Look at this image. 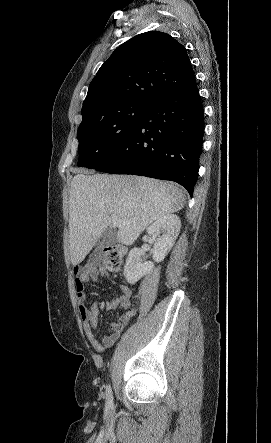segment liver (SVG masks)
I'll use <instances>...</instances> for the list:
<instances>
[{
	"instance_id": "liver-1",
	"label": "liver",
	"mask_w": 271,
	"mask_h": 443,
	"mask_svg": "<svg viewBox=\"0 0 271 443\" xmlns=\"http://www.w3.org/2000/svg\"><path fill=\"white\" fill-rule=\"evenodd\" d=\"M69 202L70 259L77 265L108 227L111 214L119 220L117 241L132 245L154 220L182 210L185 198L170 182L78 172L71 182Z\"/></svg>"
}]
</instances>
